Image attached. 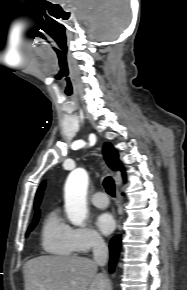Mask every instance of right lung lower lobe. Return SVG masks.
<instances>
[{
	"instance_id": "obj_1",
	"label": "right lung lower lobe",
	"mask_w": 187,
	"mask_h": 290,
	"mask_svg": "<svg viewBox=\"0 0 187 290\" xmlns=\"http://www.w3.org/2000/svg\"><path fill=\"white\" fill-rule=\"evenodd\" d=\"M120 247H121V236L118 235L113 237V239L110 242V251H111V261L109 263L110 272L114 271V267L120 252Z\"/></svg>"
}]
</instances>
